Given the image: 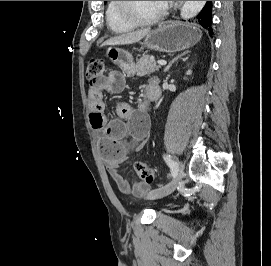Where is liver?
<instances>
[{
    "mask_svg": "<svg viewBox=\"0 0 271 266\" xmlns=\"http://www.w3.org/2000/svg\"><path fill=\"white\" fill-rule=\"evenodd\" d=\"M150 32V28L140 29L134 32L121 34L106 40L103 45H126L139 42Z\"/></svg>",
    "mask_w": 271,
    "mask_h": 266,
    "instance_id": "liver-1",
    "label": "liver"
}]
</instances>
